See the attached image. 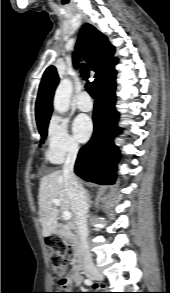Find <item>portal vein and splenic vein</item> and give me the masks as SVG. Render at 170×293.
Listing matches in <instances>:
<instances>
[{
	"mask_svg": "<svg viewBox=\"0 0 170 293\" xmlns=\"http://www.w3.org/2000/svg\"><path fill=\"white\" fill-rule=\"evenodd\" d=\"M52 202H53V204H54L55 206H60V202H59L58 199H53ZM62 218H63L64 220H69V219L71 218V213H70L69 211H64V212L62 213Z\"/></svg>",
	"mask_w": 170,
	"mask_h": 293,
	"instance_id": "1",
	"label": "portal vein and splenic vein"
}]
</instances>
